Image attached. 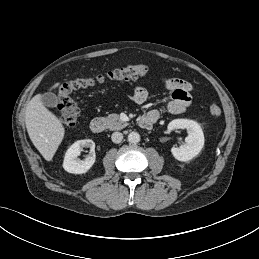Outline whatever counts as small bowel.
<instances>
[{
  "mask_svg": "<svg viewBox=\"0 0 259 259\" xmlns=\"http://www.w3.org/2000/svg\"><path fill=\"white\" fill-rule=\"evenodd\" d=\"M151 80L141 82L131 95V99L137 104H143L148 98L147 86H153ZM158 84L171 92V99L166 104V109L172 114L184 112L192 102L191 85L185 80L168 76L158 81ZM147 116L159 118V111L154 109L147 113Z\"/></svg>",
  "mask_w": 259,
  "mask_h": 259,
  "instance_id": "c3829d8e",
  "label": "small bowel"
}]
</instances>
